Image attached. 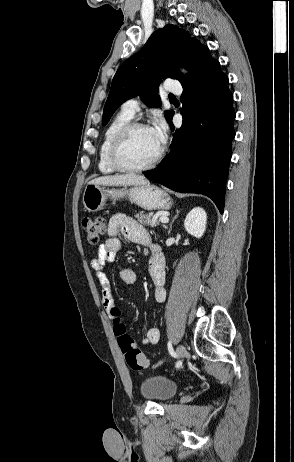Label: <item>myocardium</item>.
Masks as SVG:
<instances>
[{
  "label": "myocardium",
  "instance_id": "1",
  "mask_svg": "<svg viewBox=\"0 0 294 462\" xmlns=\"http://www.w3.org/2000/svg\"><path fill=\"white\" fill-rule=\"evenodd\" d=\"M138 129H150L148 125L131 121L123 126L112 139L108 149V161L118 171L128 173H139L152 169L162 158L164 150L160 148L157 155L148 163L141 166L127 164L122 158V149L129 136Z\"/></svg>",
  "mask_w": 294,
  "mask_h": 462
}]
</instances>
